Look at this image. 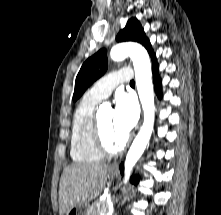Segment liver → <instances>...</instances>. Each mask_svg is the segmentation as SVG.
I'll use <instances>...</instances> for the list:
<instances>
[{
    "label": "liver",
    "instance_id": "6515ba94",
    "mask_svg": "<svg viewBox=\"0 0 221 215\" xmlns=\"http://www.w3.org/2000/svg\"><path fill=\"white\" fill-rule=\"evenodd\" d=\"M107 164H72L63 170L59 186V214L89 204L103 190L107 181Z\"/></svg>",
    "mask_w": 221,
    "mask_h": 215
}]
</instances>
